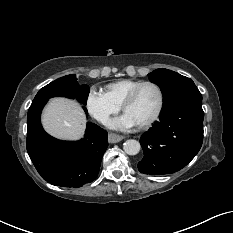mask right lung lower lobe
Wrapping results in <instances>:
<instances>
[{
    "mask_svg": "<svg viewBox=\"0 0 233 233\" xmlns=\"http://www.w3.org/2000/svg\"><path fill=\"white\" fill-rule=\"evenodd\" d=\"M48 99L32 102L27 115L28 154L41 177L62 187H81L92 182L99 173L108 146L107 132L87 123L84 138L60 141L48 135L40 123V115ZM87 112L86 108H84Z\"/></svg>",
    "mask_w": 233,
    "mask_h": 233,
    "instance_id": "1",
    "label": "right lung lower lobe"
}]
</instances>
